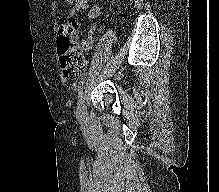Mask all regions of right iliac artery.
I'll use <instances>...</instances> for the list:
<instances>
[{
  "mask_svg": "<svg viewBox=\"0 0 219 192\" xmlns=\"http://www.w3.org/2000/svg\"><path fill=\"white\" fill-rule=\"evenodd\" d=\"M84 83H85V80L83 79L79 83L74 84V88L78 94V108L82 102V89H83ZM78 108H77V113H78Z\"/></svg>",
  "mask_w": 219,
  "mask_h": 192,
  "instance_id": "right-iliac-artery-1",
  "label": "right iliac artery"
}]
</instances>
